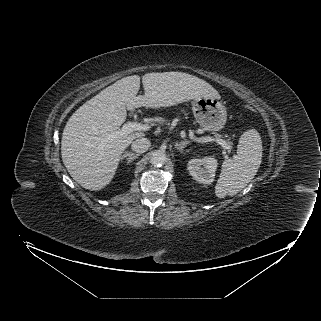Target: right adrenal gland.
Masks as SVG:
<instances>
[{"label": "right adrenal gland", "mask_w": 321, "mask_h": 321, "mask_svg": "<svg viewBox=\"0 0 321 321\" xmlns=\"http://www.w3.org/2000/svg\"><path fill=\"white\" fill-rule=\"evenodd\" d=\"M139 154H134L132 152H127L125 151V153L121 156V159H124L127 157L128 163L133 162L134 159L138 158Z\"/></svg>", "instance_id": "1"}]
</instances>
